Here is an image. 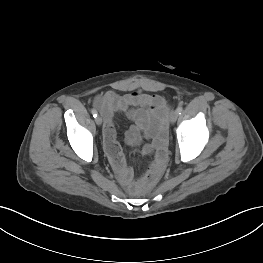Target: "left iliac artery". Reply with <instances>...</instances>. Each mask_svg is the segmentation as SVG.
<instances>
[{"label":"left iliac artery","mask_w":263,"mask_h":263,"mask_svg":"<svg viewBox=\"0 0 263 263\" xmlns=\"http://www.w3.org/2000/svg\"><path fill=\"white\" fill-rule=\"evenodd\" d=\"M182 111H183V107H182V106H179V107L177 108V112H178L179 114H181Z\"/></svg>","instance_id":"left-iliac-artery-1"}]
</instances>
